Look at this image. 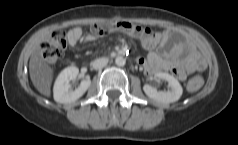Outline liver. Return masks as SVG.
Instances as JSON below:
<instances>
[{"label":"liver","instance_id":"liver-1","mask_svg":"<svg viewBox=\"0 0 238 145\" xmlns=\"http://www.w3.org/2000/svg\"><path fill=\"white\" fill-rule=\"evenodd\" d=\"M30 78L35 88L44 96L51 95L53 70L43 58V50L37 45L31 54L29 61Z\"/></svg>","mask_w":238,"mask_h":145}]
</instances>
